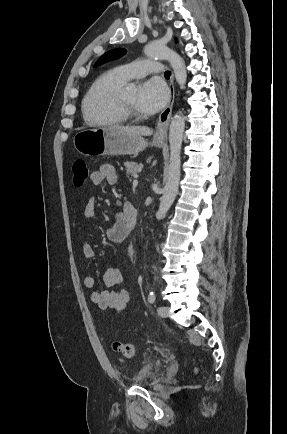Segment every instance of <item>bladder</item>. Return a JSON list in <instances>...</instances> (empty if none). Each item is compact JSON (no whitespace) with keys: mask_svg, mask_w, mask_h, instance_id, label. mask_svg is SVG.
<instances>
[{"mask_svg":"<svg viewBox=\"0 0 287 434\" xmlns=\"http://www.w3.org/2000/svg\"><path fill=\"white\" fill-rule=\"evenodd\" d=\"M160 373V365L153 361H146L132 377V382L137 385H147L155 380Z\"/></svg>","mask_w":287,"mask_h":434,"instance_id":"31cf9c89","label":"bladder"}]
</instances>
